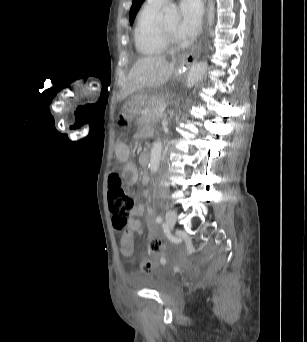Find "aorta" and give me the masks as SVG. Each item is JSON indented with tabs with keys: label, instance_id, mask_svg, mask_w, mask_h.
<instances>
[{
	"label": "aorta",
	"instance_id": "obj_1",
	"mask_svg": "<svg viewBox=\"0 0 307 342\" xmlns=\"http://www.w3.org/2000/svg\"><path fill=\"white\" fill-rule=\"evenodd\" d=\"M163 12V22L165 24H178L180 22V16L178 12L177 6L175 4H165L162 8ZM214 22V4L212 0H209L208 8H207V24L208 26H212ZM207 70L206 62H200V64H194L192 66L190 72L187 74L185 88H193L199 80H201L203 74H205ZM162 142H154L151 152H150V162H149V170L151 174H156L159 170L160 162H161V154H162Z\"/></svg>",
	"mask_w": 307,
	"mask_h": 342
}]
</instances>
